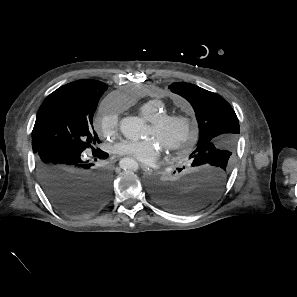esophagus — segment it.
Wrapping results in <instances>:
<instances>
[{"mask_svg":"<svg viewBox=\"0 0 297 297\" xmlns=\"http://www.w3.org/2000/svg\"><path fill=\"white\" fill-rule=\"evenodd\" d=\"M140 166H141V169H142L144 172H146V173H151V172H152V169H151L149 166H147V165H145V164H141Z\"/></svg>","mask_w":297,"mask_h":297,"instance_id":"obj_1","label":"esophagus"}]
</instances>
